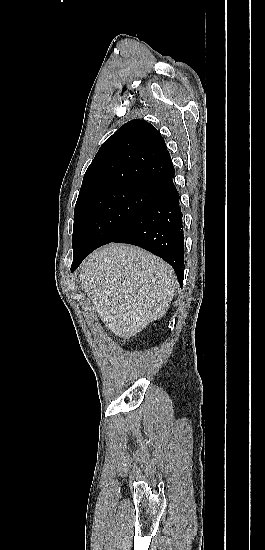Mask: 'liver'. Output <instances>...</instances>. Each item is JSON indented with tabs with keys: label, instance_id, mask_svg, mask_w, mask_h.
Masks as SVG:
<instances>
[{
	"label": "liver",
	"instance_id": "obj_1",
	"mask_svg": "<svg viewBox=\"0 0 265 550\" xmlns=\"http://www.w3.org/2000/svg\"><path fill=\"white\" fill-rule=\"evenodd\" d=\"M79 279L105 326L124 339L163 317L177 286L169 264L124 244H109L89 255Z\"/></svg>",
	"mask_w": 265,
	"mask_h": 550
}]
</instances>
